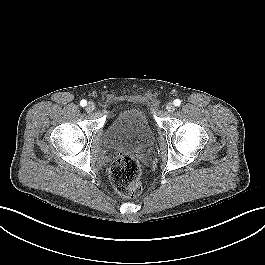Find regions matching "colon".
Listing matches in <instances>:
<instances>
[{
  "label": "colon",
  "mask_w": 265,
  "mask_h": 265,
  "mask_svg": "<svg viewBox=\"0 0 265 265\" xmlns=\"http://www.w3.org/2000/svg\"><path fill=\"white\" fill-rule=\"evenodd\" d=\"M141 166L131 156H120L110 166L109 176L115 191L126 198H133L140 194Z\"/></svg>",
  "instance_id": "obj_1"
}]
</instances>
